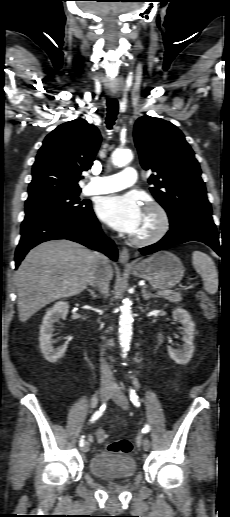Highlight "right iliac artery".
I'll return each instance as SVG.
<instances>
[{"label":"right iliac artery","mask_w":230,"mask_h":517,"mask_svg":"<svg viewBox=\"0 0 230 517\" xmlns=\"http://www.w3.org/2000/svg\"><path fill=\"white\" fill-rule=\"evenodd\" d=\"M105 408H106V405H105V404H103V405L99 408V410H98V411H96V412L92 415V417H91L90 421H91V422H94V421H96L98 418H100V417L102 416V414L104 413ZM79 444H80V446H83V445H84V436H82V437H81V439H80V441H79Z\"/></svg>","instance_id":"1"}]
</instances>
